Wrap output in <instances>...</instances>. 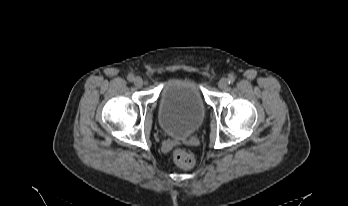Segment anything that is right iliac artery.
Wrapping results in <instances>:
<instances>
[{
	"mask_svg": "<svg viewBox=\"0 0 348 206\" xmlns=\"http://www.w3.org/2000/svg\"><path fill=\"white\" fill-rule=\"evenodd\" d=\"M127 79H128V81L132 82V81H134V76L132 74H129Z\"/></svg>",
	"mask_w": 348,
	"mask_h": 206,
	"instance_id": "right-iliac-artery-1",
	"label": "right iliac artery"
}]
</instances>
